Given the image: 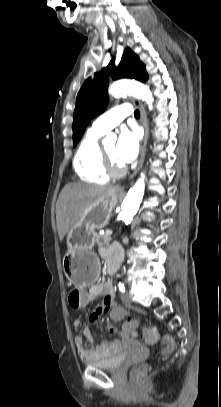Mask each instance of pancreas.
I'll list each match as a JSON object with an SVG mask.
<instances>
[{"label":"pancreas","mask_w":221,"mask_h":407,"mask_svg":"<svg viewBox=\"0 0 221 407\" xmlns=\"http://www.w3.org/2000/svg\"><path fill=\"white\" fill-rule=\"evenodd\" d=\"M111 241V233L105 232L96 236V243L99 247L108 246Z\"/></svg>","instance_id":"pancreas-1"}]
</instances>
